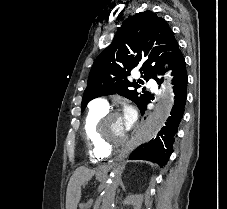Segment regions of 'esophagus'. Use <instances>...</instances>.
Returning <instances> with one entry per match:
<instances>
[{"label":"esophagus","mask_w":227,"mask_h":209,"mask_svg":"<svg viewBox=\"0 0 227 209\" xmlns=\"http://www.w3.org/2000/svg\"><path fill=\"white\" fill-rule=\"evenodd\" d=\"M152 117V109L148 108L147 112H145V116H142V120L140 121L141 128H145L148 125V121L151 120ZM126 151H119L117 159L114 160L112 164H108V166H103L102 169L97 172V177H106V174H109L113 169H117L119 164H124L126 161Z\"/></svg>","instance_id":"esophagus-1"}]
</instances>
